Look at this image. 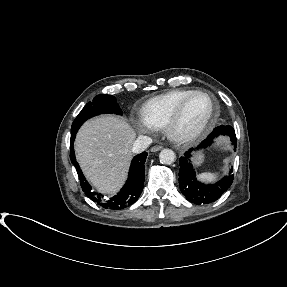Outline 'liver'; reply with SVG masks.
Wrapping results in <instances>:
<instances>
[{
  "label": "liver",
  "mask_w": 287,
  "mask_h": 287,
  "mask_svg": "<svg viewBox=\"0 0 287 287\" xmlns=\"http://www.w3.org/2000/svg\"><path fill=\"white\" fill-rule=\"evenodd\" d=\"M135 138L129 123L115 115L95 117L80 128L75 139L76 157L99 192L114 195L124 184Z\"/></svg>",
  "instance_id": "6515ba94"
}]
</instances>
